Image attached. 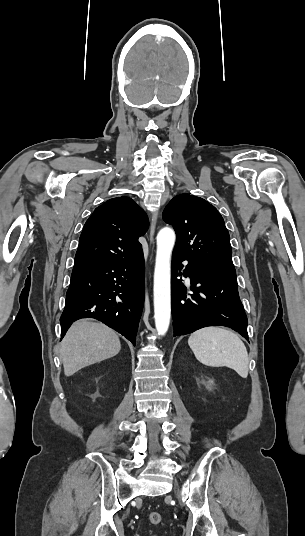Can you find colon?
I'll return each instance as SVG.
<instances>
[{"label": "colon", "mask_w": 305, "mask_h": 536, "mask_svg": "<svg viewBox=\"0 0 305 536\" xmlns=\"http://www.w3.org/2000/svg\"><path fill=\"white\" fill-rule=\"evenodd\" d=\"M149 521L154 524H160L161 523V515L157 512H151L149 515Z\"/></svg>", "instance_id": "1"}]
</instances>
